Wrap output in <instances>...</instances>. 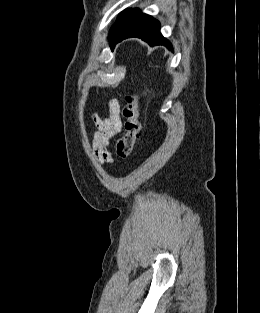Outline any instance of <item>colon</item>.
<instances>
[{
    "instance_id": "1",
    "label": "colon",
    "mask_w": 260,
    "mask_h": 313,
    "mask_svg": "<svg viewBox=\"0 0 260 313\" xmlns=\"http://www.w3.org/2000/svg\"><path fill=\"white\" fill-rule=\"evenodd\" d=\"M140 104L141 98L137 94H128L125 97V106L122 110L124 132L117 140L115 148L119 159H127L132 154L140 136Z\"/></svg>"
}]
</instances>
